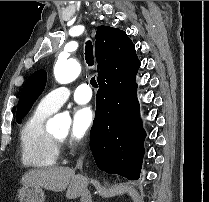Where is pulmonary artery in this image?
I'll list each match as a JSON object with an SVG mask.
<instances>
[{"instance_id":"e3ab8cb5","label":"pulmonary artery","mask_w":209,"mask_h":202,"mask_svg":"<svg viewBox=\"0 0 209 202\" xmlns=\"http://www.w3.org/2000/svg\"><path fill=\"white\" fill-rule=\"evenodd\" d=\"M70 96H73L77 103L85 104L91 100L92 90L86 84L74 87H55L40 99L39 107L49 112H55L67 102Z\"/></svg>"}]
</instances>
